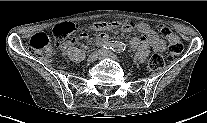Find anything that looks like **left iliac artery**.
<instances>
[{
	"label": "left iliac artery",
	"instance_id": "obj_1",
	"mask_svg": "<svg viewBox=\"0 0 207 123\" xmlns=\"http://www.w3.org/2000/svg\"><path fill=\"white\" fill-rule=\"evenodd\" d=\"M113 51L116 53H122L125 51V46L118 42L117 45L114 47Z\"/></svg>",
	"mask_w": 207,
	"mask_h": 123
}]
</instances>
